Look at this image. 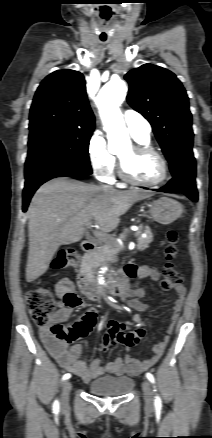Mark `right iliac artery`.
<instances>
[{
    "label": "right iliac artery",
    "mask_w": 212,
    "mask_h": 438,
    "mask_svg": "<svg viewBox=\"0 0 212 438\" xmlns=\"http://www.w3.org/2000/svg\"><path fill=\"white\" fill-rule=\"evenodd\" d=\"M70 377H71V374L66 373L65 375H63L62 380H67V379H69ZM53 410H54L55 412H58V411H59V402H58L57 400H55L54 403H53Z\"/></svg>",
    "instance_id": "82829eb1"
}]
</instances>
